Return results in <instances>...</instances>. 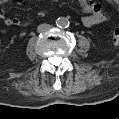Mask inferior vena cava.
I'll return each mask as SVG.
<instances>
[{"instance_id":"602c4592","label":"inferior vena cava","mask_w":119,"mask_h":119,"mask_svg":"<svg viewBox=\"0 0 119 119\" xmlns=\"http://www.w3.org/2000/svg\"><path fill=\"white\" fill-rule=\"evenodd\" d=\"M50 29H51V25L50 24H46V23L40 24L38 26V28H37L38 32H46V31H48Z\"/></svg>"}]
</instances>
